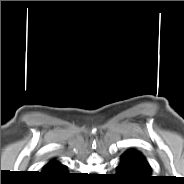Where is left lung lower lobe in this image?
<instances>
[{
	"label": "left lung lower lobe",
	"mask_w": 184,
	"mask_h": 184,
	"mask_svg": "<svg viewBox=\"0 0 184 184\" xmlns=\"http://www.w3.org/2000/svg\"><path fill=\"white\" fill-rule=\"evenodd\" d=\"M116 176L128 184H147L153 178L148 162L136 150H129L122 155Z\"/></svg>",
	"instance_id": "0a47b994"
}]
</instances>
